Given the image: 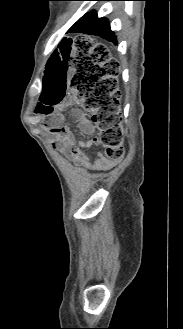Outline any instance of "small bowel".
I'll list each match as a JSON object with an SVG mask.
<instances>
[{
    "label": "small bowel",
    "instance_id": "1",
    "mask_svg": "<svg viewBox=\"0 0 183 329\" xmlns=\"http://www.w3.org/2000/svg\"><path fill=\"white\" fill-rule=\"evenodd\" d=\"M75 119L79 122L81 129L85 133L90 135L93 133V127L91 123L81 113L75 114ZM52 127L54 126L51 125V128ZM51 132L55 134L53 145L58 147L67 158L74 161L75 163L86 168H92L94 170H100L109 166V161L106 160L102 153H99L95 162L90 164L87 155L83 151V149L89 148L93 144L98 143V140L95 137H92L89 140H80L76 144L74 134L68 125H63L61 127L51 129Z\"/></svg>",
    "mask_w": 183,
    "mask_h": 329
}]
</instances>
